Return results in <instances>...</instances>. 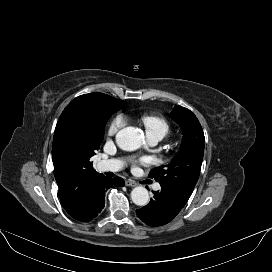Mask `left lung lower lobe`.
Instances as JSON below:
<instances>
[{
  "mask_svg": "<svg viewBox=\"0 0 272 272\" xmlns=\"http://www.w3.org/2000/svg\"><path fill=\"white\" fill-rule=\"evenodd\" d=\"M153 193L154 197L150 202L136 210L137 216L149 226H162L169 223L187 202L163 187Z\"/></svg>",
  "mask_w": 272,
  "mask_h": 272,
  "instance_id": "left-lung-lower-lobe-1",
  "label": "left lung lower lobe"
}]
</instances>
